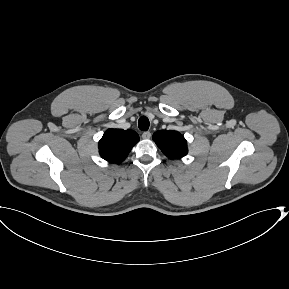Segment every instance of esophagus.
Segmentation results:
<instances>
[{
    "label": "esophagus",
    "instance_id": "34e87169",
    "mask_svg": "<svg viewBox=\"0 0 289 289\" xmlns=\"http://www.w3.org/2000/svg\"><path fill=\"white\" fill-rule=\"evenodd\" d=\"M151 133L149 131H145L142 133V138L143 139H150Z\"/></svg>",
    "mask_w": 289,
    "mask_h": 289
}]
</instances>
